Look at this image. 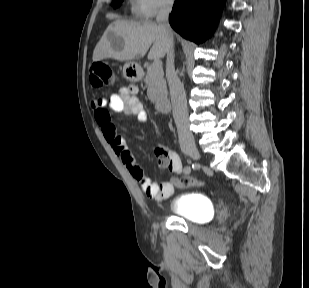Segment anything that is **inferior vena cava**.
Listing matches in <instances>:
<instances>
[{
    "label": "inferior vena cava",
    "instance_id": "1",
    "mask_svg": "<svg viewBox=\"0 0 309 288\" xmlns=\"http://www.w3.org/2000/svg\"><path fill=\"white\" fill-rule=\"evenodd\" d=\"M174 0H166L158 15L157 23L163 29L167 40L166 77L170 89L173 117L176 123L180 145L194 144V137L189 131L186 94L174 67L173 35L169 25V14Z\"/></svg>",
    "mask_w": 309,
    "mask_h": 288
}]
</instances>
